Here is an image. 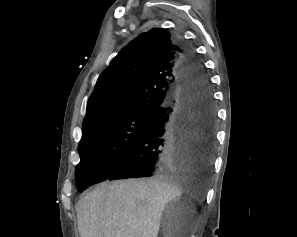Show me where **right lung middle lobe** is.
Instances as JSON below:
<instances>
[{"instance_id": "obj_1", "label": "right lung middle lobe", "mask_w": 297, "mask_h": 237, "mask_svg": "<svg viewBox=\"0 0 297 237\" xmlns=\"http://www.w3.org/2000/svg\"><path fill=\"white\" fill-rule=\"evenodd\" d=\"M153 112H134L95 122L82 130L78 146L81 157L76 167V184L81 192L108 173L140 138Z\"/></svg>"}]
</instances>
